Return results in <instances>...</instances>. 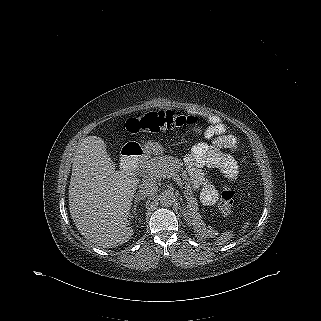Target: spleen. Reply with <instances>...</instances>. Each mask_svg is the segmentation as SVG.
I'll use <instances>...</instances> for the list:
<instances>
[{"label":"spleen","mask_w":321,"mask_h":321,"mask_svg":"<svg viewBox=\"0 0 321 321\" xmlns=\"http://www.w3.org/2000/svg\"><path fill=\"white\" fill-rule=\"evenodd\" d=\"M244 227L246 228L247 226L246 225H244ZM233 237V234L232 233H226L225 235H224V239H230V238H232Z\"/></svg>","instance_id":"3e777b00"}]
</instances>
